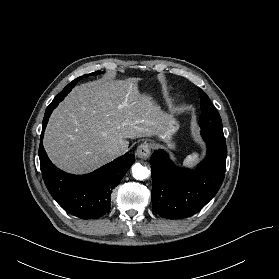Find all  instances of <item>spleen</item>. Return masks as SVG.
<instances>
[{"mask_svg": "<svg viewBox=\"0 0 279 279\" xmlns=\"http://www.w3.org/2000/svg\"><path fill=\"white\" fill-rule=\"evenodd\" d=\"M197 154H193V155H189L186 159V164H192L193 160H195L197 158Z\"/></svg>", "mask_w": 279, "mask_h": 279, "instance_id": "obj_1", "label": "spleen"}]
</instances>
